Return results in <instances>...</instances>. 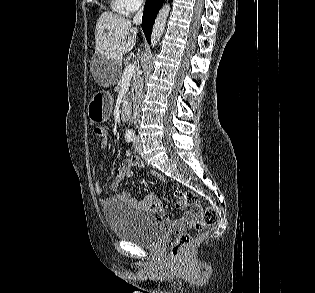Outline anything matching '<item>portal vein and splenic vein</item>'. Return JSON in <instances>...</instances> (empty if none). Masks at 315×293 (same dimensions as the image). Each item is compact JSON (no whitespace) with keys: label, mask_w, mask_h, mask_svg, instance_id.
<instances>
[{"label":"portal vein and splenic vein","mask_w":315,"mask_h":293,"mask_svg":"<svg viewBox=\"0 0 315 293\" xmlns=\"http://www.w3.org/2000/svg\"><path fill=\"white\" fill-rule=\"evenodd\" d=\"M135 68L134 64L128 65L123 72V77L127 80L130 79L135 73Z\"/></svg>","instance_id":"obj_1"}]
</instances>
